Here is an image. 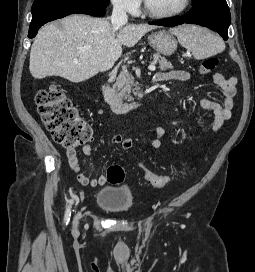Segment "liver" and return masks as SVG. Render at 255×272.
Returning <instances> with one entry per match:
<instances>
[{
    "mask_svg": "<svg viewBox=\"0 0 255 272\" xmlns=\"http://www.w3.org/2000/svg\"><path fill=\"white\" fill-rule=\"evenodd\" d=\"M43 26L32 44L29 70L35 79L59 76L73 83L111 69L122 45L133 47L150 24H128L114 29L106 19L75 14Z\"/></svg>",
    "mask_w": 255,
    "mask_h": 272,
    "instance_id": "obj_1",
    "label": "liver"
}]
</instances>
